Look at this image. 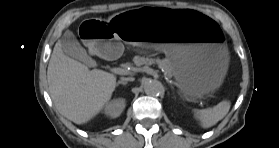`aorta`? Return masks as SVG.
Listing matches in <instances>:
<instances>
[{"label": "aorta", "mask_w": 279, "mask_h": 148, "mask_svg": "<svg viewBox=\"0 0 279 148\" xmlns=\"http://www.w3.org/2000/svg\"><path fill=\"white\" fill-rule=\"evenodd\" d=\"M144 91L148 96H158L163 93L164 87L157 80H148L144 83Z\"/></svg>", "instance_id": "aorta-1"}]
</instances>
